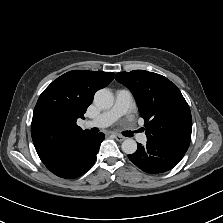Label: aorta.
<instances>
[{
	"label": "aorta",
	"mask_w": 223,
	"mask_h": 223,
	"mask_svg": "<svg viewBox=\"0 0 223 223\" xmlns=\"http://www.w3.org/2000/svg\"><path fill=\"white\" fill-rule=\"evenodd\" d=\"M113 103L114 96L107 88L98 90L94 95V104L101 109H110ZM121 148L124 153L133 154L137 150V143L135 140L128 138L123 141Z\"/></svg>",
	"instance_id": "1"
}]
</instances>
